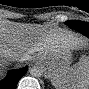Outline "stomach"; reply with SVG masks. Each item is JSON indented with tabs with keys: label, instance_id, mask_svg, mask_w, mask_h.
Returning <instances> with one entry per match:
<instances>
[{
	"label": "stomach",
	"instance_id": "obj_1",
	"mask_svg": "<svg viewBox=\"0 0 89 89\" xmlns=\"http://www.w3.org/2000/svg\"><path fill=\"white\" fill-rule=\"evenodd\" d=\"M39 58L46 63L49 73L70 66L73 61L72 53L68 50H59L56 53H47Z\"/></svg>",
	"mask_w": 89,
	"mask_h": 89
}]
</instances>
